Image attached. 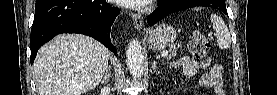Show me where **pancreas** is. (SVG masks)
<instances>
[{
    "label": "pancreas",
    "instance_id": "obj_1",
    "mask_svg": "<svg viewBox=\"0 0 277 95\" xmlns=\"http://www.w3.org/2000/svg\"><path fill=\"white\" fill-rule=\"evenodd\" d=\"M177 54V48L175 45H171L170 46V50H169V55L167 57V59H172L176 56Z\"/></svg>",
    "mask_w": 277,
    "mask_h": 95
}]
</instances>
